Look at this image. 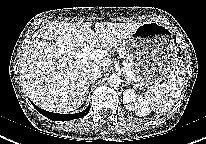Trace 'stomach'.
<instances>
[{"label": "stomach", "instance_id": "obj_1", "mask_svg": "<svg viewBox=\"0 0 206 144\" xmlns=\"http://www.w3.org/2000/svg\"><path fill=\"white\" fill-rule=\"evenodd\" d=\"M124 46L136 72L133 80L140 86L161 82L178 59L170 29L157 22L140 24Z\"/></svg>", "mask_w": 206, "mask_h": 144}]
</instances>
